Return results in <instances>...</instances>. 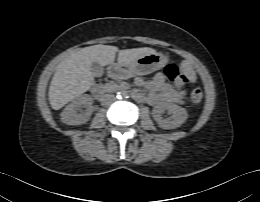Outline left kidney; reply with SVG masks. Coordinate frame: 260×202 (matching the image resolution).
Segmentation results:
<instances>
[{
  "mask_svg": "<svg viewBox=\"0 0 260 202\" xmlns=\"http://www.w3.org/2000/svg\"><path fill=\"white\" fill-rule=\"evenodd\" d=\"M168 111L171 116L163 118L162 113ZM153 117L159 127L163 129H175L180 127L188 118L186 109L170 102L157 104L152 111Z\"/></svg>",
  "mask_w": 260,
  "mask_h": 202,
  "instance_id": "1",
  "label": "left kidney"
}]
</instances>
